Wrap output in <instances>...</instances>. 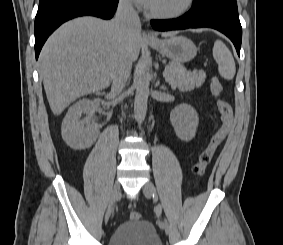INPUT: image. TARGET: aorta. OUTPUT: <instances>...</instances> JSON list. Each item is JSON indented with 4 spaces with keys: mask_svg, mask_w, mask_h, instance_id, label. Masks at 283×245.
Returning a JSON list of instances; mask_svg holds the SVG:
<instances>
[{
    "mask_svg": "<svg viewBox=\"0 0 283 245\" xmlns=\"http://www.w3.org/2000/svg\"><path fill=\"white\" fill-rule=\"evenodd\" d=\"M149 96V80L145 75L141 76L136 85V94L134 100V115L136 121L141 124L147 112V102Z\"/></svg>",
    "mask_w": 283,
    "mask_h": 245,
    "instance_id": "aorta-1",
    "label": "aorta"
}]
</instances>
